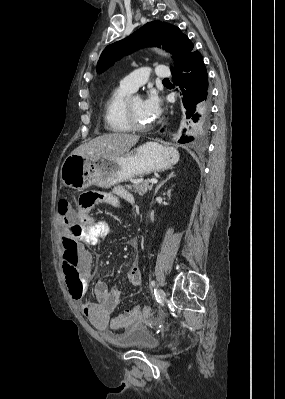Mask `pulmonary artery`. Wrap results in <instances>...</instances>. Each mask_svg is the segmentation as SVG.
Segmentation results:
<instances>
[{
	"instance_id": "obj_1",
	"label": "pulmonary artery",
	"mask_w": 285,
	"mask_h": 399,
	"mask_svg": "<svg viewBox=\"0 0 285 399\" xmlns=\"http://www.w3.org/2000/svg\"><path fill=\"white\" fill-rule=\"evenodd\" d=\"M153 74L157 78L161 79H168L171 76L168 67L163 64H157L155 70L153 71ZM150 75L151 72L147 69L143 68L136 70L123 77L120 81V86L129 90L130 92H134L138 89L139 86L147 81Z\"/></svg>"
}]
</instances>
